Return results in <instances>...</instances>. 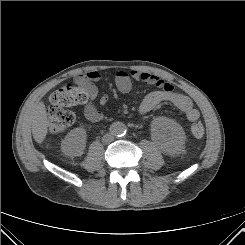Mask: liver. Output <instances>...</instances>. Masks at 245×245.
<instances>
[{"instance_id": "1", "label": "liver", "mask_w": 245, "mask_h": 245, "mask_svg": "<svg viewBox=\"0 0 245 245\" xmlns=\"http://www.w3.org/2000/svg\"><path fill=\"white\" fill-rule=\"evenodd\" d=\"M48 132V118L46 108L43 102H39L35 106L33 122H32V134L37 143H42Z\"/></svg>"}]
</instances>
